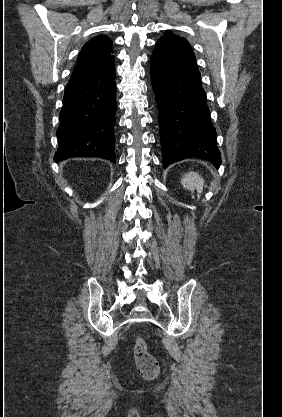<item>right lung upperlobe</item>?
Returning <instances> with one entry per match:
<instances>
[{
    "label": "right lung upper lobe",
    "instance_id": "1",
    "mask_svg": "<svg viewBox=\"0 0 282 417\" xmlns=\"http://www.w3.org/2000/svg\"><path fill=\"white\" fill-rule=\"evenodd\" d=\"M112 41L107 36H97L82 48L72 75L114 61Z\"/></svg>",
    "mask_w": 282,
    "mask_h": 417
}]
</instances>
